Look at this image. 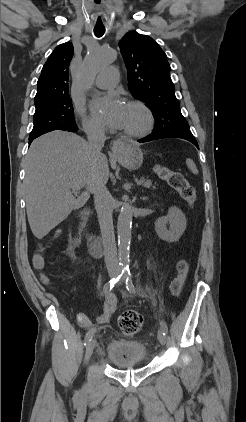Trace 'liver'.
I'll list each match as a JSON object with an SVG mask.
<instances>
[{
    "mask_svg": "<svg viewBox=\"0 0 246 422\" xmlns=\"http://www.w3.org/2000/svg\"><path fill=\"white\" fill-rule=\"evenodd\" d=\"M25 173L28 222L33 235L42 239L73 210L85 205L98 176L108 180L109 165L105 155H92L83 138L58 130L32 142ZM82 187L85 191L76 198L73 192Z\"/></svg>",
    "mask_w": 246,
    "mask_h": 422,
    "instance_id": "liver-1",
    "label": "liver"
}]
</instances>
